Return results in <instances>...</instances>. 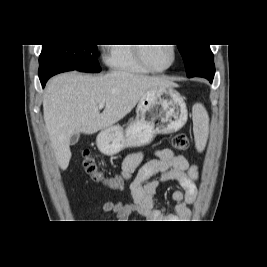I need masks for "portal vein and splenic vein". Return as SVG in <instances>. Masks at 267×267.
<instances>
[{
  "label": "portal vein and splenic vein",
  "instance_id": "18ae733b",
  "mask_svg": "<svg viewBox=\"0 0 267 267\" xmlns=\"http://www.w3.org/2000/svg\"><path fill=\"white\" fill-rule=\"evenodd\" d=\"M104 106H105V103H103V102L99 103V105H98L99 108H103Z\"/></svg>",
  "mask_w": 267,
  "mask_h": 267
}]
</instances>
